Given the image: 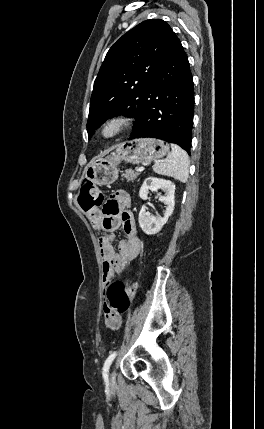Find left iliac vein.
<instances>
[{"mask_svg": "<svg viewBox=\"0 0 264 429\" xmlns=\"http://www.w3.org/2000/svg\"><path fill=\"white\" fill-rule=\"evenodd\" d=\"M109 381H110V385H115V382H116V373H115V370H112L110 372V379H109Z\"/></svg>", "mask_w": 264, "mask_h": 429, "instance_id": "obj_1", "label": "left iliac vein"}]
</instances>
